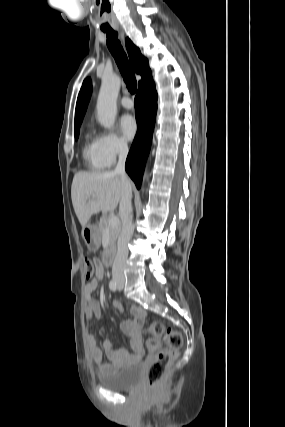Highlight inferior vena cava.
<instances>
[{"mask_svg":"<svg viewBox=\"0 0 285 427\" xmlns=\"http://www.w3.org/2000/svg\"><path fill=\"white\" fill-rule=\"evenodd\" d=\"M128 155V146L121 145L119 148V158L114 173L122 178L123 193L119 205V213L122 220V230L118 239V250L113 263V275H123L126 260L128 258V243L133 235L134 226L132 223V188L128 182L125 172V161Z\"/></svg>","mask_w":285,"mask_h":427,"instance_id":"1","label":"inferior vena cava"}]
</instances>
